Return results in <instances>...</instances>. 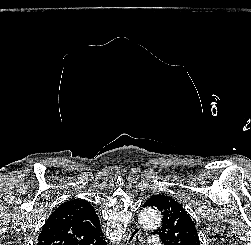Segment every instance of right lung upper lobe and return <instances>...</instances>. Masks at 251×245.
<instances>
[{
    "mask_svg": "<svg viewBox=\"0 0 251 245\" xmlns=\"http://www.w3.org/2000/svg\"><path fill=\"white\" fill-rule=\"evenodd\" d=\"M99 218L91 204L82 199L64 202L50 215L37 245H84L101 236Z\"/></svg>",
    "mask_w": 251,
    "mask_h": 245,
    "instance_id": "right-lung-upper-lobe-1",
    "label": "right lung upper lobe"
}]
</instances>
